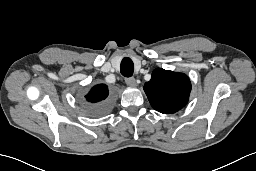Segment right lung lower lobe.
<instances>
[{"label":"right lung lower lobe","instance_id":"obj_1","mask_svg":"<svg viewBox=\"0 0 256 171\" xmlns=\"http://www.w3.org/2000/svg\"><path fill=\"white\" fill-rule=\"evenodd\" d=\"M110 107H111V100L107 99L101 103L89 105L86 108V113L90 117H99L106 114L110 110Z\"/></svg>","mask_w":256,"mask_h":171}]
</instances>
